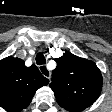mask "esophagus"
<instances>
[{"label":"esophagus","instance_id":"1","mask_svg":"<svg viewBox=\"0 0 112 112\" xmlns=\"http://www.w3.org/2000/svg\"><path fill=\"white\" fill-rule=\"evenodd\" d=\"M39 70L42 74H43V71L46 72V75L45 74H43V75L50 80L51 72L48 70V68L45 65L39 66Z\"/></svg>","mask_w":112,"mask_h":112}]
</instances>
